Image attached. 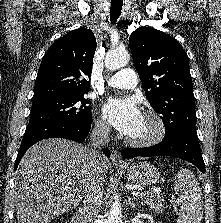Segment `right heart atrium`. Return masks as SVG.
<instances>
[{
	"label": "right heart atrium",
	"mask_w": 221,
	"mask_h": 223,
	"mask_svg": "<svg viewBox=\"0 0 221 223\" xmlns=\"http://www.w3.org/2000/svg\"><path fill=\"white\" fill-rule=\"evenodd\" d=\"M95 129L100 134H106L109 131V127H108L107 123H105L102 120L95 121Z\"/></svg>",
	"instance_id": "right-heart-atrium-1"
}]
</instances>
